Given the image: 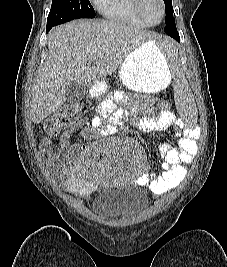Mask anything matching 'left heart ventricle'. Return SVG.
Listing matches in <instances>:
<instances>
[{"label": "left heart ventricle", "mask_w": 227, "mask_h": 267, "mask_svg": "<svg viewBox=\"0 0 227 267\" xmlns=\"http://www.w3.org/2000/svg\"><path fill=\"white\" fill-rule=\"evenodd\" d=\"M144 12L151 22H158L161 18V5L158 0H145Z\"/></svg>", "instance_id": "obj_1"}]
</instances>
